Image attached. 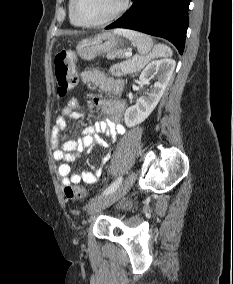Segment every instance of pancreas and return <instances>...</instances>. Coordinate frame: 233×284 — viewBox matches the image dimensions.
I'll return each mask as SVG.
<instances>
[{
    "label": "pancreas",
    "mask_w": 233,
    "mask_h": 284,
    "mask_svg": "<svg viewBox=\"0 0 233 284\" xmlns=\"http://www.w3.org/2000/svg\"><path fill=\"white\" fill-rule=\"evenodd\" d=\"M125 53H126L125 50H116V51L108 53L107 58L109 60H113L115 58H126ZM146 61L147 59L145 58L134 56L132 59H128L124 64L129 65L127 68L129 72H136L144 66Z\"/></svg>",
    "instance_id": "pancreas-1"
}]
</instances>
